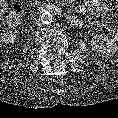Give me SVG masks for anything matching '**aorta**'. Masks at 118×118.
<instances>
[{
	"label": "aorta",
	"mask_w": 118,
	"mask_h": 118,
	"mask_svg": "<svg viewBox=\"0 0 118 118\" xmlns=\"http://www.w3.org/2000/svg\"><path fill=\"white\" fill-rule=\"evenodd\" d=\"M40 20L43 24L48 25V24L52 23L53 15L50 12L45 11L44 13L41 14Z\"/></svg>",
	"instance_id": "obj_1"
}]
</instances>
